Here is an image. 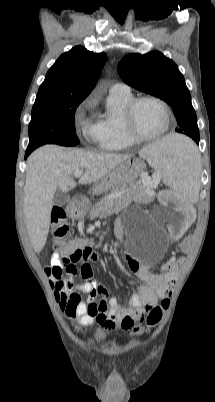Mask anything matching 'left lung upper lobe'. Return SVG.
Here are the masks:
<instances>
[{
	"mask_svg": "<svg viewBox=\"0 0 215 402\" xmlns=\"http://www.w3.org/2000/svg\"><path fill=\"white\" fill-rule=\"evenodd\" d=\"M123 81L137 90L167 102L175 112L176 131L199 142L197 117L191 95L177 65L159 51L125 56L118 65Z\"/></svg>",
	"mask_w": 215,
	"mask_h": 402,
	"instance_id": "5c2ea615",
	"label": "left lung upper lobe"
}]
</instances>
